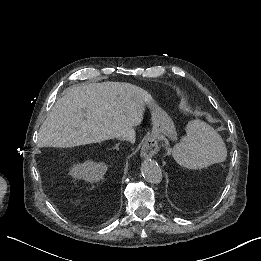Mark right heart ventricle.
I'll return each instance as SVG.
<instances>
[{"mask_svg":"<svg viewBox=\"0 0 261 261\" xmlns=\"http://www.w3.org/2000/svg\"><path fill=\"white\" fill-rule=\"evenodd\" d=\"M181 99L178 96H171L167 94H156L154 105H162L173 112H177L181 108Z\"/></svg>","mask_w":261,"mask_h":261,"instance_id":"e07e8e85","label":"right heart ventricle"}]
</instances>
